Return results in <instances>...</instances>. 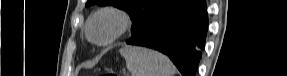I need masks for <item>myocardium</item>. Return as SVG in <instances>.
Masks as SVG:
<instances>
[{
	"mask_svg": "<svg viewBox=\"0 0 287 76\" xmlns=\"http://www.w3.org/2000/svg\"><path fill=\"white\" fill-rule=\"evenodd\" d=\"M102 17H111L115 20L114 31L104 39H97L91 34V27ZM132 26V18L128 12L117 7H106L93 13L87 21L85 33L87 38L98 46H108L124 35Z\"/></svg>",
	"mask_w": 287,
	"mask_h": 76,
	"instance_id": "obj_1",
	"label": "myocardium"
}]
</instances>
